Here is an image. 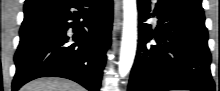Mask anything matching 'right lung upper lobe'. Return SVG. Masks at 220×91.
I'll list each match as a JSON object with an SVG mask.
<instances>
[{
	"label": "right lung upper lobe",
	"instance_id": "1",
	"mask_svg": "<svg viewBox=\"0 0 220 91\" xmlns=\"http://www.w3.org/2000/svg\"><path fill=\"white\" fill-rule=\"evenodd\" d=\"M37 1H38L37 6H38V5L45 4V3H51V2H53L54 0H37ZM28 8H31V7H29V6L25 7V6H24V9H28Z\"/></svg>",
	"mask_w": 220,
	"mask_h": 91
}]
</instances>
